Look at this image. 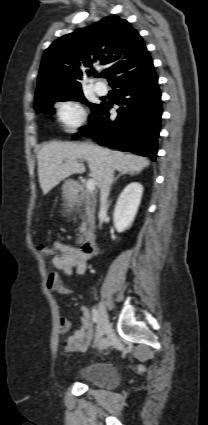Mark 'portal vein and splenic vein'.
I'll use <instances>...</instances> for the list:
<instances>
[{"label":"portal vein and splenic vein","mask_w":208,"mask_h":425,"mask_svg":"<svg viewBox=\"0 0 208 425\" xmlns=\"http://www.w3.org/2000/svg\"><path fill=\"white\" fill-rule=\"evenodd\" d=\"M60 163H63V160H61ZM95 185H96L95 180L93 178H89L87 180V182H86V189H87V191L93 192L94 189H95Z\"/></svg>","instance_id":"1"}]
</instances>
